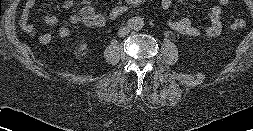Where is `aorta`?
Listing matches in <instances>:
<instances>
[{"mask_svg": "<svg viewBox=\"0 0 253 131\" xmlns=\"http://www.w3.org/2000/svg\"><path fill=\"white\" fill-rule=\"evenodd\" d=\"M144 26V21L142 18L140 17H137L134 21V25H133V28L134 29H141L142 27Z\"/></svg>", "mask_w": 253, "mask_h": 131, "instance_id": "aorta-1", "label": "aorta"}]
</instances>
